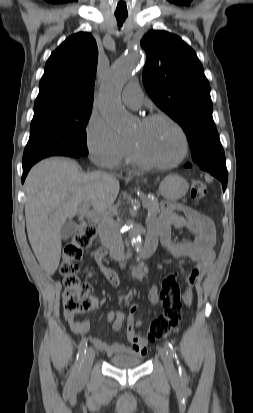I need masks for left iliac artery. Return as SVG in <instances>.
Returning a JSON list of instances; mask_svg holds the SVG:
<instances>
[{
	"label": "left iliac artery",
	"instance_id": "left-iliac-artery-1",
	"mask_svg": "<svg viewBox=\"0 0 253 413\" xmlns=\"http://www.w3.org/2000/svg\"><path fill=\"white\" fill-rule=\"evenodd\" d=\"M165 346L167 347L169 354H170L171 356H173V358L176 359V362H177V365H178V371H179L180 378H181L182 380L186 379V372H185L183 366L180 364V362H179V360H178V358H177L175 348H174L173 345H172L170 342H168V341L165 343Z\"/></svg>",
	"mask_w": 253,
	"mask_h": 413
}]
</instances>
